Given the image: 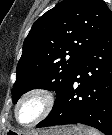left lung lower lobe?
<instances>
[{"label":"left lung lower lobe","instance_id":"1","mask_svg":"<svg viewBox=\"0 0 112 135\" xmlns=\"http://www.w3.org/2000/svg\"><path fill=\"white\" fill-rule=\"evenodd\" d=\"M77 123L112 135V24L85 54L37 127Z\"/></svg>","mask_w":112,"mask_h":135}]
</instances>
